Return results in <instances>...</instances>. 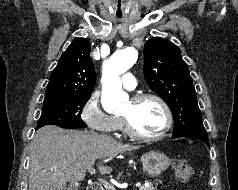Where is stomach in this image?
Here are the masks:
<instances>
[{
  "mask_svg": "<svg viewBox=\"0 0 238 190\" xmlns=\"http://www.w3.org/2000/svg\"><path fill=\"white\" fill-rule=\"evenodd\" d=\"M141 161L144 171L151 177L161 175L171 164L170 159L158 151L145 153Z\"/></svg>",
  "mask_w": 238,
  "mask_h": 190,
  "instance_id": "0dacf381",
  "label": "stomach"
}]
</instances>
